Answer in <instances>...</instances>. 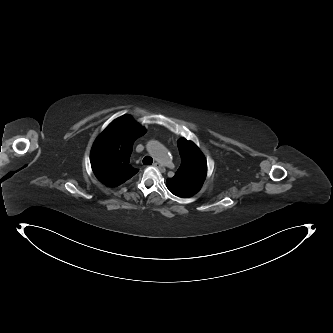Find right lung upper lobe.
Returning <instances> with one entry per match:
<instances>
[{
  "label": "right lung upper lobe",
  "mask_w": 333,
  "mask_h": 333,
  "mask_svg": "<svg viewBox=\"0 0 333 333\" xmlns=\"http://www.w3.org/2000/svg\"><path fill=\"white\" fill-rule=\"evenodd\" d=\"M146 129L131 116L124 115L113 122L95 140L90 154L92 170L106 186L117 187L138 170L130 165L132 146Z\"/></svg>",
  "instance_id": "obj_1"
}]
</instances>
